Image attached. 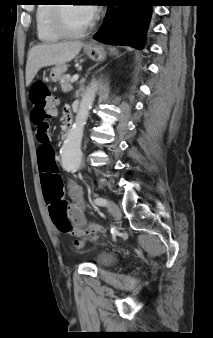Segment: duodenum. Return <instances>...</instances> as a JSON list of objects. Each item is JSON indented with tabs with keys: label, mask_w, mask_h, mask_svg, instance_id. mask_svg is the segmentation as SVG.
I'll return each mask as SVG.
<instances>
[{
	"label": "duodenum",
	"mask_w": 213,
	"mask_h": 338,
	"mask_svg": "<svg viewBox=\"0 0 213 338\" xmlns=\"http://www.w3.org/2000/svg\"><path fill=\"white\" fill-rule=\"evenodd\" d=\"M73 123H74L73 113L70 112L68 114L67 118H66L65 123L62 126V136H63V138H67L68 137L69 133L72 130Z\"/></svg>",
	"instance_id": "duodenum-1"
}]
</instances>
